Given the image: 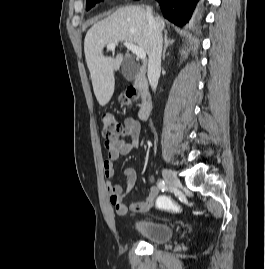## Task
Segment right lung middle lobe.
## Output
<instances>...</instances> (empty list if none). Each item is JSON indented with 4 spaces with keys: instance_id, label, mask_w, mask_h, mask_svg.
Instances as JSON below:
<instances>
[{
    "instance_id": "1",
    "label": "right lung middle lobe",
    "mask_w": 265,
    "mask_h": 269,
    "mask_svg": "<svg viewBox=\"0 0 265 269\" xmlns=\"http://www.w3.org/2000/svg\"><path fill=\"white\" fill-rule=\"evenodd\" d=\"M100 1H102V0H87V2H86L87 10L92 8L96 3L100 2Z\"/></svg>"
}]
</instances>
